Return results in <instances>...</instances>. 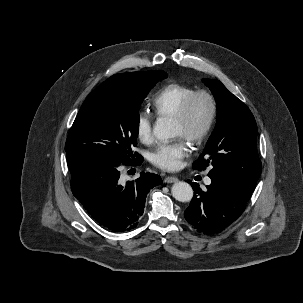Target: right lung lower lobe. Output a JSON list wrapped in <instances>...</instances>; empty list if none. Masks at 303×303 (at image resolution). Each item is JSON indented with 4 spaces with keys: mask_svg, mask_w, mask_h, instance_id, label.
Returning <instances> with one entry per match:
<instances>
[{
    "mask_svg": "<svg viewBox=\"0 0 303 303\" xmlns=\"http://www.w3.org/2000/svg\"><path fill=\"white\" fill-rule=\"evenodd\" d=\"M119 177V165L88 161L71 172V190L98 223L114 232H125L137 226L147 193L162 179L141 172L136 181L122 186Z\"/></svg>",
    "mask_w": 303,
    "mask_h": 303,
    "instance_id": "98d812e1",
    "label": "right lung lower lobe"
}]
</instances>
